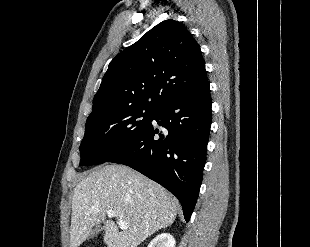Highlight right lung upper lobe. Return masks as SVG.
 Wrapping results in <instances>:
<instances>
[{
	"mask_svg": "<svg viewBox=\"0 0 310 247\" xmlns=\"http://www.w3.org/2000/svg\"><path fill=\"white\" fill-rule=\"evenodd\" d=\"M207 81L191 33L180 22L165 20L110 62L87 121L129 108L157 110Z\"/></svg>",
	"mask_w": 310,
	"mask_h": 247,
	"instance_id": "cb5924a9",
	"label": "right lung upper lobe"
}]
</instances>
